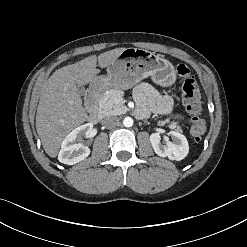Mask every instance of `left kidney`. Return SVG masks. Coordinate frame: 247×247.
<instances>
[{"label": "left kidney", "mask_w": 247, "mask_h": 247, "mask_svg": "<svg viewBox=\"0 0 247 247\" xmlns=\"http://www.w3.org/2000/svg\"><path fill=\"white\" fill-rule=\"evenodd\" d=\"M170 135L172 137V141L166 139L165 143H162L159 133L151 134V145L157 155L161 157H168L170 160L180 161L188 154V141L186 137L179 132L171 131Z\"/></svg>", "instance_id": "obj_1"}]
</instances>
